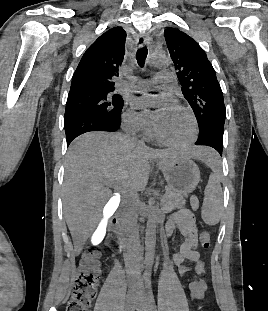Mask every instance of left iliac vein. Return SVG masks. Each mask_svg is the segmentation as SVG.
<instances>
[{"instance_id": "1", "label": "left iliac vein", "mask_w": 268, "mask_h": 311, "mask_svg": "<svg viewBox=\"0 0 268 311\" xmlns=\"http://www.w3.org/2000/svg\"><path fill=\"white\" fill-rule=\"evenodd\" d=\"M137 295H138V298L141 299V302L138 304V309L140 311H152L150 302H149V297L147 293L145 292V288L143 285L140 286Z\"/></svg>"}]
</instances>
